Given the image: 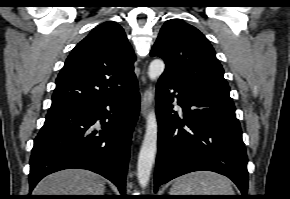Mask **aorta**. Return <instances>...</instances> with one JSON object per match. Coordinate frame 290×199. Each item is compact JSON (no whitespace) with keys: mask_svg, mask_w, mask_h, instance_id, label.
I'll return each instance as SVG.
<instances>
[{"mask_svg":"<svg viewBox=\"0 0 290 199\" xmlns=\"http://www.w3.org/2000/svg\"><path fill=\"white\" fill-rule=\"evenodd\" d=\"M165 64L161 59L153 60L148 69L151 80L158 79L164 72ZM158 124L154 109L147 116V124L144 139L138 156L137 178L140 186L145 188L150 180L155 156L157 152Z\"/></svg>","mask_w":290,"mask_h":199,"instance_id":"1","label":"aorta"}]
</instances>
